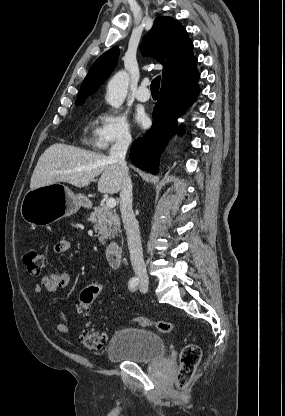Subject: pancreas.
I'll use <instances>...</instances> for the list:
<instances>
[{
  "label": "pancreas",
  "instance_id": "obj_1",
  "mask_svg": "<svg viewBox=\"0 0 285 416\" xmlns=\"http://www.w3.org/2000/svg\"><path fill=\"white\" fill-rule=\"evenodd\" d=\"M93 228L97 236H99V242L106 244L109 238H114L115 234L120 230V218L113 212L112 208L107 206H98L94 208V212H91L90 218Z\"/></svg>",
  "mask_w": 285,
  "mask_h": 416
}]
</instances>
